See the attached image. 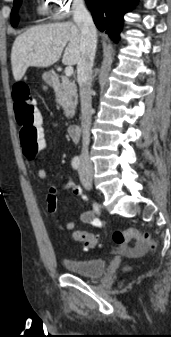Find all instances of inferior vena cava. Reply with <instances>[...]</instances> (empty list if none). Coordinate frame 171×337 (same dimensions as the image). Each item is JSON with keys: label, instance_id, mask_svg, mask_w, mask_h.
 <instances>
[{"label": "inferior vena cava", "instance_id": "inferior-vena-cava-1", "mask_svg": "<svg viewBox=\"0 0 171 337\" xmlns=\"http://www.w3.org/2000/svg\"><path fill=\"white\" fill-rule=\"evenodd\" d=\"M73 19L81 32V56L77 63V81L81 101V127H82V161L89 160L88 146L90 142V126L92 118L91 85L92 67L96 53L97 32L93 19L85 7L83 0L74 5Z\"/></svg>", "mask_w": 171, "mask_h": 337}]
</instances>
